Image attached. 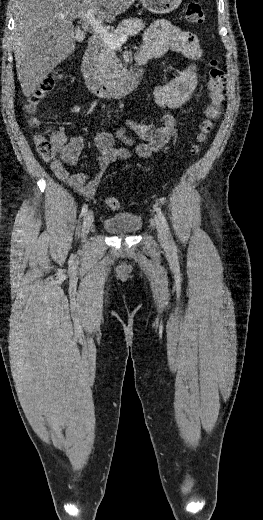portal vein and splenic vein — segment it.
<instances>
[{
	"instance_id": "obj_1",
	"label": "portal vein and splenic vein",
	"mask_w": 263,
	"mask_h": 520,
	"mask_svg": "<svg viewBox=\"0 0 263 520\" xmlns=\"http://www.w3.org/2000/svg\"><path fill=\"white\" fill-rule=\"evenodd\" d=\"M95 13L96 9H90L87 12L80 14V16L93 28V31L97 33L108 46L117 48L127 41V35H123L119 38L114 37L103 27L101 22L95 18ZM60 17L64 18L65 15H60Z\"/></svg>"
}]
</instances>
